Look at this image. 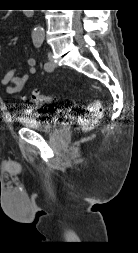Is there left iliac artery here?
<instances>
[{
    "mask_svg": "<svg viewBox=\"0 0 138 253\" xmlns=\"http://www.w3.org/2000/svg\"><path fill=\"white\" fill-rule=\"evenodd\" d=\"M42 43H43V40H42V39H37V40L34 41V45H35L37 48L41 47ZM44 69H45V70H49V69H50V64H49V62H46V63L44 64Z\"/></svg>",
    "mask_w": 138,
    "mask_h": 253,
    "instance_id": "obj_1",
    "label": "left iliac artery"
}]
</instances>
